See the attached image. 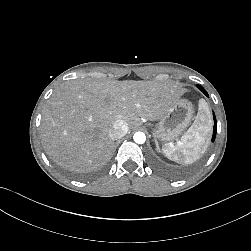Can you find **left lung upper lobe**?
<instances>
[{"label":"left lung upper lobe","mask_w":251,"mask_h":251,"mask_svg":"<svg viewBox=\"0 0 251 251\" xmlns=\"http://www.w3.org/2000/svg\"><path fill=\"white\" fill-rule=\"evenodd\" d=\"M197 87H198L207 97H209L207 91H206L204 88H202V87L199 86V85H197Z\"/></svg>","instance_id":"obj_1"}]
</instances>
